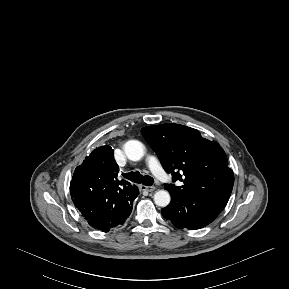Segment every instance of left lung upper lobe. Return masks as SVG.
I'll return each instance as SVG.
<instances>
[{
	"mask_svg": "<svg viewBox=\"0 0 289 289\" xmlns=\"http://www.w3.org/2000/svg\"><path fill=\"white\" fill-rule=\"evenodd\" d=\"M141 132L165 171L173 175V181L183 182L179 187L166 185V190L224 209L232 192L234 174L216 141H209L198 130L180 124L147 126Z\"/></svg>",
	"mask_w": 289,
	"mask_h": 289,
	"instance_id": "obj_1",
	"label": "left lung upper lobe"
}]
</instances>
